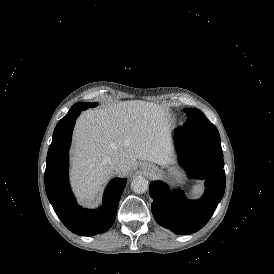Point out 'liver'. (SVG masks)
I'll list each match as a JSON object with an SVG mask.
<instances>
[{
	"label": "liver",
	"mask_w": 274,
	"mask_h": 274,
	"mask_svg": "<svg viewBox=\"0 0 274 274\" xmlns=\"http://www.w3.org/2000/svg\"><path fill=\"white\" fill-rule=\"evenodd\" d=\"M170 117L160 105L141 100L88 109L77 119L71 150V183L80 204L89 206L115 173L128 175L136 160L172 161ZM124 166L115 170L109 160Z\"/></svg>",
	"instance_id": "obj_1"
}]
</instances>
